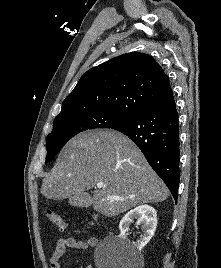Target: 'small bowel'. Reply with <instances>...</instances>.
<instances>
[{
    "instance_id": "c3829d8e",
    "label": "small bowel",
    "mask_w": 221,
    "mask_h": 268,
    "mask_svg": "<svg viewBox=\"0 0 221 268\" xmlns=\"http://www.w3.org/2000/svg\"><path fill=\"white\" fill-rule=\"evenodd\" d=\"M97 245L95 237H89L85 240L76 239L74 237H67L60 239L55 246V249L50 257V268H61V260L67 250H76L78 252L86 251ZM85 268H93L87 265Z\"/></svg>"
}]
</instances>
